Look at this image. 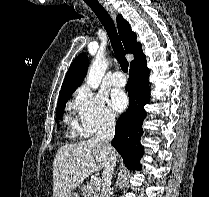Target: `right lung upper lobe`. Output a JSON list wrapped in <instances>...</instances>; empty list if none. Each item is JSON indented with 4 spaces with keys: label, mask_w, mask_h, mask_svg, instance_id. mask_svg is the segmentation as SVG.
<instances>
[{
    "label": "right lung upper lobe",
    "mask_w": 209,
    "mask_h": 197,
    "mask_svg": "<svg viewBox=\"0 0 209 197\" xmlns=\"http://www.w3.org/2000/svg\"><path fill=\"white\" fill-rule=\"evenodd\" d=\"M117 27L126 52L134 54L135 58L130 63V66L145 58L146 56L143 54L141 44L136 41V34L131 30L129 23L121 15L117 16ZM88 65L89 61L85 54H80L75 58L66 73L59 99L75 91L80 86L86 76Z\"/></svg>",
    "instance_id": "1"
}]
</instances>
